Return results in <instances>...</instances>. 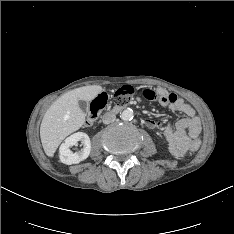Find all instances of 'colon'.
<instances>
[{"instance_id": "1", "label": "colon", "mask_w": 234, "mask_h": 234, "mask_svg": "<svg viewBox=\"0 0 234 234\" xmlns=\"http://www.w3.org/2000/svg\"><path fill=\"white\" fill-rule=\"evenodd\" d=\"M135 90L132 86L126 85L118 89L112 99L111 103L115 105H124L128 104L130 101L132 95L134 94ZM143 95L150 100H155L158 97V93L151 89H144ZM108 98L106 94L102 93L99 94L94 98V100L91 102L90 105V111L86 120V123L88 125L92 124L94 120L98 117L100 112L104 109V107L107 105ZM204 142L201 139L195 140L192 145L188 148V151L190 153H193L194 151L200 150L201 147H203ZM189 152H186L184 154V157L186 159H189L191 157V154Z\"/></svg>"}]
</instances>
